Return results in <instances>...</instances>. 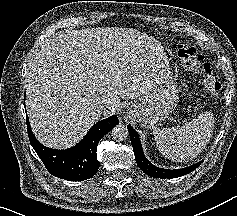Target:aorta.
Listing matches in <instances>:
<instances>
[{"mask_svg": "<svg viewBox=\"0 0 237 216\" xmlns=\"http://www.w3.org/2000/svg\"><path fill=\"white\" fill-rule=\"evenodd\" d=\"M129 135L128 129L123 124L114 126L111 130V136L114 140L124 141Z\"/></svg>", "mask_w": 237, "mask_h": 216, "instance_id": "obj_1", "label": "aorta"}]
</instances>
